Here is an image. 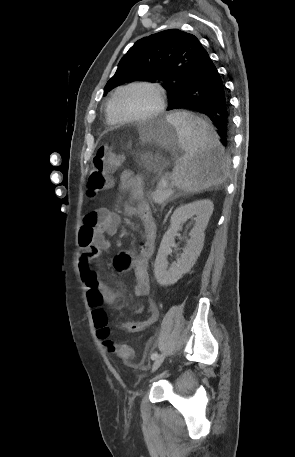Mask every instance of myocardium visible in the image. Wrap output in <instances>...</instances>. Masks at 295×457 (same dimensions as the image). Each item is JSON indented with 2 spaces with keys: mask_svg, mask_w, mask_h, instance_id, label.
Listing matches in <instances>:
<instances>
[{
  "mask_svg": "<svg viewBox=\"0 0 295 457\" xmlns=\"http://www.w3.org/2000/svg\"><path fill=\"white\" fill-rule=\"evenodd\" d=\"M132 87H147V88L152 89L157 98V105L151 112H149L145 115L138 116V117H121L115 112V109H114L115 99L121 91L128 89V88H132ZM165 105H166L165 93H164L163 88L159 84L153 83V82H147V81H135V82H130L128 84L120 86L114 91V93L111 96V99L109 101V112H110V115L112 116V118L117 122H121V123L145 122V121L151 120V119L157 117L159 114H161L165 108Z\"/></svg>",
  "mask_w": 295,
  "mask_h": 457,
  "instance_id": "f54148a6",
  "label": "myocardium"
}]
</instances>
